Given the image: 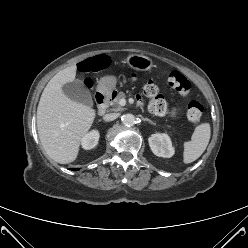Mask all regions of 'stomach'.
Here are the masks:
<instances>
[{
  "instance_id": "1",
  "label": "stomach",
  "mask_w": 248,
  "mask_h": 248,
  "mask_svg": "<svg viewBox=\"0 0 248 248\" xmlns=\"http://www.w3.org/2000/svg\"><path fill=\"white\" fill-rule=\"evenodd\" d=\"M125 61L129 67L136 71H150L154 67L153 61L144 55L130 54ZM116 83L117 78L115 76H105L100 79L97 90L103 95H109L115 90Z\"/></svg>"
}]
</instances>
